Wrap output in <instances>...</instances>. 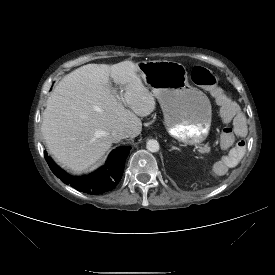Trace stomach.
Instances as JSON below:
<instances>
[{"instance_id": "stomach-1", "label": "stomach", "mask_w": 275, "mask_h": 275, "mask_svg": "<svg viewBox=\"0 0 275 275\" xmlns=\"http://www.w3.org/2000/svg\"><path fill=\"white\" fill-rule=\"evenodd\" d=\"M137 65L146 86L160 103L167 132L188 145L202 143L210 131L211 103L201 90L190 86L186 68L165 60Z\"/></svg>"}]
</instances>
